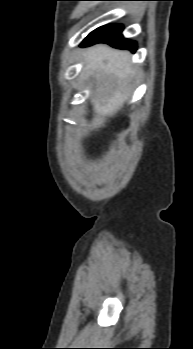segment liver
<instances>
[{
	"instance_id": "6515ba94",
	"label": "liver",
	"mask_w": 193,
	"mask_h": 349,
	"mask_svg": "<svg viewBox=\"0 0 193 349\" xmlns=\"http://www.w3.org/2000/svg\"><path fill=\"white\" fill-rule=\"evenodd\" d=\"M83 58L86 64L81 76L96 81L90 98L95 113L93 124L101 125L107 117L116 114L128 99L136 67L130 63L127 51L103 44L86 49Z\"/></svg>"
}]
</instances>
